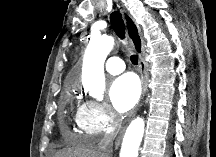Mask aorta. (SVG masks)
<instances>
[{"label":"aorta","instance_id":"1","mask_svg":"<svg viewBox=\"0 0 216 157\" xmlns=\"http://www.w3.org/2000/svg\"><path fill=\"white\" fill-rule=\"evenodd\" d=\"M114 46V38L103 35L91 39L83 61L82 84L97 100L103 99L105 90L104 63ZM145 128L144 119L137 117L129 124L122 142L120 157H138Z\"/></svg>","mask_w":216,"mask_h":157}]
</instances>
